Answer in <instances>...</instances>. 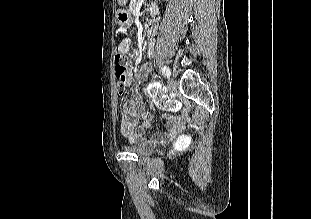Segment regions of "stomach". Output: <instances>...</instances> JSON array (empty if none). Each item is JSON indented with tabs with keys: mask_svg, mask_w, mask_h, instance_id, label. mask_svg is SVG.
<instances>
[{
	"mask_svg": "<svg viewBox=\"0 0 311 219\" xmlns=\"http://www.w3.org/2000/svg\"><path fill=\"white\" fill-rule=\"evenodd\" d=\"M117 21L120 25L128 26L132 22L131 13L127 11H122L117 14Z\"/></svg>",
	"mask_w": 311,
	"mask_h": 219,
	"instance_id": "stomach-1",
	"label": "stomach"
}]
</instances>
